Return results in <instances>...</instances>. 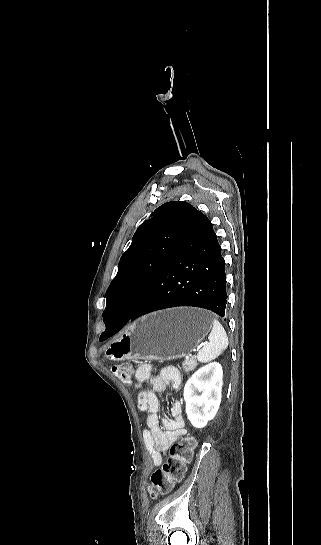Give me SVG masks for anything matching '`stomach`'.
I'll use <instances>...</instances> for the list:
<instances>
[{
	"mask_svg": "<svg viewBox=\"0 0 321 545\" xmlns=\"http://www.w3.org/2000/svg\"><path fill=\"white\" fill-rule=\"evenodd\" d=\"M212 327L204 309L176 307L140 317L109 345L111 361L178 359L189 355Z\"/></svg>",
	"mask_w": 321,
	"mask_h": 545,
	"instance_id": "0dacf381",
	"label": "stomach"
}]
</instances>
